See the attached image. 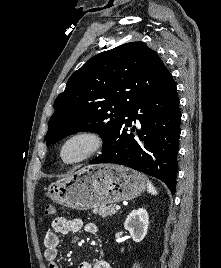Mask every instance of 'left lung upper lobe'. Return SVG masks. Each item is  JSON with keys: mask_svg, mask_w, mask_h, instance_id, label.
I'll use <instances>...</instances> for the list:
<instances>
[{"mask_svg": "<svg viewBox=\"0 0 221 268\" xmlns=\"http://www.w3.org/2000/svg\"><path fill=\"white\" fill-rule=\"evenodd\" d=\"M172 79L157 53L143 42L94 56L71 75L56 98L47 146L80 131L96 132L105 143L136 103Z\"/></svg>", "mask_w": 221, "mask_h": 268, "instance_id": "left-lung-upper-lobe-1", "label": "left lung upper lobe"}]
</instances>
